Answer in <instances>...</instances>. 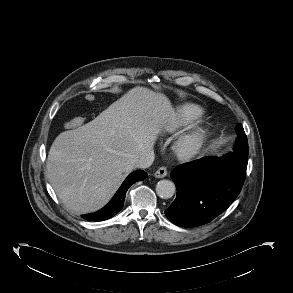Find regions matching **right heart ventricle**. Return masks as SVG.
I'll return each mask as SVG.
<instances>
[{
	"instance_id": "1",
	"label": "right heart ventricle",
	"mask_w": 293,
	"mask_h": 293,
	"mask_svg": "<svg viewBox=\"0 0 293 293\" xmlns=\"http://www.w3.org/2000/svg\"><path fill=\"white\" fill-rule=\"evenodd\" d=\"M204 114L201 106L187 103L177 107L167 123V130L175 132L197 121Z\"/></svg>"
}]
</instances>
